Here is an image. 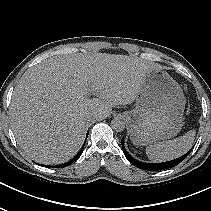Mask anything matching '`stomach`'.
<instances>
[{
    "mask_svg": "<svg viewBox=\"0 0 211 211\" xmlns=\"http://www.w3.org/2000/svg\"><path fill=\"white\" fill-rule=\"evenodd\" d=\"M186 99L164 70H150L137 93L136 107L124 116L134 144L145 146L176 136L183 126Z\"/></svg>",
    "mask_w": 211,
    "mask_h": 211,
    "instance_id": "0dacf381",
    "label": "stomach"
}]
</instances>
